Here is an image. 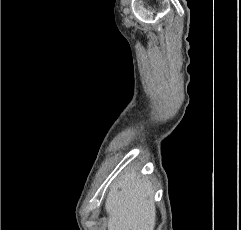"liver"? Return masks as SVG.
Returning <instances> with one entry per match:
<instances>
[{"instance_id":"liver-1","label":"liver","mask_w":241,"mask_h":230,"mask_svg":"<svg viewBox=\"0 0 241 230\" xmlns=\"http://www.w3.org/2000/svg\"><path fill=\"white\" fill-rule=\"evenodd\" d=\"M108 230H154L156 209L145 179L125 173L109 190L105 202Z\"/></svg>"}]
</instances>
